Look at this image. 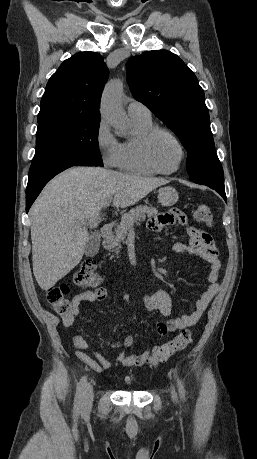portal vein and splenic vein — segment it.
<instances>
[{
  "mask_svg": "<svg viewBox=\"0 0 257 459\" xmlns=\"http://www.w3.org/2000/svg\"><path fill=\"white\" fill-rule=\"evenodd\" d=\"M111 201H112V198H108L104 203V208H107L110 205Z\"/></svg>",
  "mask_w": 257,
  "mask_h": 459,
  "instance_id": "portal-vein-and-splenic-vein-1",
  "label": "portal vein and splenic vein"
}]
</instances>
